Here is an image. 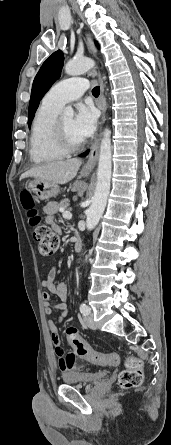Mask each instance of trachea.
I'll return each mask as SVG.
<instances>
[{"mask_svg": "<svg viewBox=\"0 0 171 445\" xmlns=\"http://www.w3.org/2000/svg\"><path fill=\"white\" fill-rule=\"evenodd\" d=\"M92 94H93V96L98 97L100 94V87L99 86L94 87L92 89Z\"/></svg>", "mask_w": 171, "mask_h": 445, "instance_id": "1", "label": "trachea"}]
</instances>
